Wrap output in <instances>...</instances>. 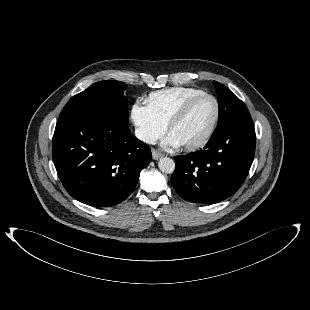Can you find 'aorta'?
<instances>
[{
  "label": "aorta",
  "instance_id": "1",
  "mask_svg": "<svg viewBox=\"0 0 310 310\" xmlns=\"http://www.w3.org/2000/svg\"><path fill=\"white\" fill-rule=\"evenodd\" d=\"M158 167L163 173L171 174L175 170V162L169 157H164L159 160Z\"/></svg>",
  "mask_w": 310,
  "mask_h": 310
}]
</instances>
